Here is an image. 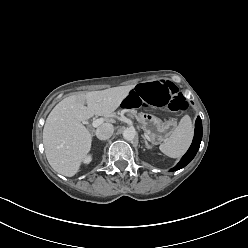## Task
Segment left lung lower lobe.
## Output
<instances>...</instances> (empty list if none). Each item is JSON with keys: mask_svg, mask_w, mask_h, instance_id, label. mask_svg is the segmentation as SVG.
<instances>
[{"mask_svg": "<svg viewBox=\"0 0 248 248\" xmlns=\"http://www.w3.org/2000/svg\"><path fill=\"white\" fill-rule=\"evenodd\" d=\"M201 139H202V121L201 118L198 117L195 123V134L192 144L189 150L186 152V154L182 157L181 161L176 165V167L171 169V171L179 170L191 162V160L195 157L200 147Z\"/></svg>", "mask_w": 248, "mask_h": 248, "instance_id": "left-lung-lower-lobe-1", "label": "left lung lower lobe"}]
</instances>
